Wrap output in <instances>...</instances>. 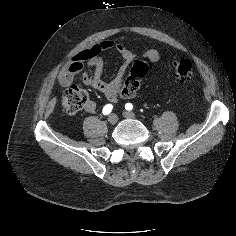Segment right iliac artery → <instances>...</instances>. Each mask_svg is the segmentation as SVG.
Wrapping results in <instances>:
<instances>
[{
	"label": "right iliac artery",
	"instance_id": "obj_1",
	"mask_svg": "<svg viewBox=\"0 0 236 236\" xmlns=\"http://www.w3.org/2000/svg\"><path fill=\"white\" fill-rule=\"evenodd\" d=\"M113 109V105L112 104H107L103 107L102 113L103 115H108Z\"/></svg>",
	"mask_w": 236,
	"mask_h": 236
}]
</instances>
